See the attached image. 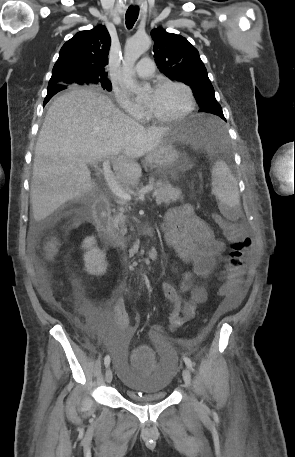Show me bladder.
<instances>
[{"instance_id":"31cf9c89","label":"bladder","mask_w":295,"mask_h":457,"mask_svg":"<svg viewBox=\"0 0 295 457\" xmlns=\"http://www.w3.org/2000/svg\"><path fill=\"white\" fill-rule=\"evenodd\" d=\"M106 359L116 365V372L121 373V380L125 386L126 396L136 403H149L164 400L168 393L167 387L172 378L170 369H177V353L173 345L166 342H157L159 354L157 374H132L130 370V352L128 351L129 338H106Z\"/></svg>"}]
</instances>
